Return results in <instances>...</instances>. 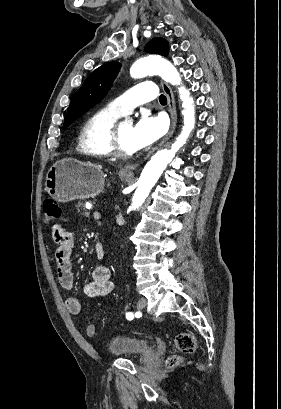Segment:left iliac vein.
<instances>
[{"instance_id":"left-iliac-vein-1","label":"left iliac vein","mask_w":281,"mask_h":409,"mask_svg":"<svg viewBox=\"0 0 281 409\" xmlns=\"http://www.w3.org/2000/svg\"><path fill=\"white\" fill-rule=\"evenodd\" d=\"M146 305H147L146 299L145 298H140L138 303H137V308L140 310V309L145 308Z\"/></svg>"}]
</instances>
